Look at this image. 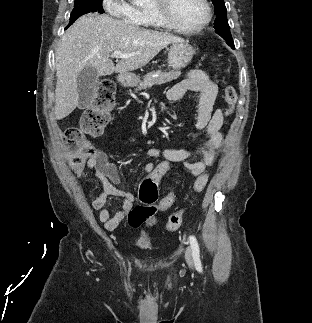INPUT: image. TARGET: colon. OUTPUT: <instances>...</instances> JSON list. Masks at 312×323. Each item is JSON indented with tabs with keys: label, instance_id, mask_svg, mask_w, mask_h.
I'll return each mask as SVG.
<instances>
[{
	"label": "colon",
	"instance_id": "1",
	"mask_svg": "<svg viewBox=\"0 0 312 323\" xmlns=\"http://www.w3.org/2000/svg\"><path fill=\"white\" fill-rule=\"evenodd\" d=\"M224 100L228 110L232 111L237 101V93L230 84L224 87ZM115 103V83L111 78L104 77L98 82L92 105L86 108L81 115L79 126L69 127L64 133V141L70 149L71 156L70 161H66V168H73L75 172L83 170L85 160L94 153L87 137L101 136L110 121V114L115 108ZM170 164V161L162 160L158 168H154L151 172L150 177H140L139 179L141 185L137 193L146 206L140 208L137 214L144 220L151 218L157 210L158 189L156 184L159 183V179L165 174L166 169L170 170L168 167ZM206 181V176L200 177L195 182V191H203ZM160 202L161 213H169L170 209L174 207L171 197H161ZM183 210H186V207H183ZM172 215L165 225V230L168 233H174L180 228L183 221L182 215H186V212L174 210Z\"/></svg>",
	"mask_w": 312,
	"mask_h": 323
}]
</instances>
